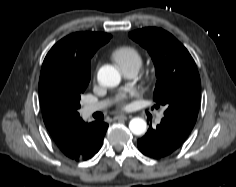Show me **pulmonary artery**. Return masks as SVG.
Instances as JSON below:
<instances>
[{
    "label": "pulmonary artery",
    "instance_id": "pulmonary-artery-1",
    "mask_svg": "<svg viewBox=\"0 0 236 187\" xmlns=\"http://www.w3.org/2000/svg\"><path fill=\"white\" fill-rule=\"evenodd\" d=\"M136 74H137V71H133V70L125 73V75L129 78L136 76ZM107 105H108V101H101L98 103L87 104L83 107V114H84V116L88 117L92 113L105 108ZM162 117H163V113L161 112L157 115L156 122L160 123Z\"/></svg>",
    "mask_w": 236,
    "mask_h": 187
}]
</instances>
